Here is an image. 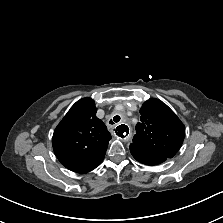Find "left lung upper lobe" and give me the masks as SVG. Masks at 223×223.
I'll return each instance as SVG.
<instances>
[{"mask_svg": "<svg viewBox=\"0 0 223 223\" xmlns=\"http://www.w3.org/2000/svg\"><path fill=\"white\" fill-rule=\"evenodd\" d=\"M141 122L130 147L141 151L172 158L180 149L185 127L177 115L162 101L152 98L140 109Z\"/></svg>", "mask_w": 223, "mask_h": 223, "instance_id": "left-lung-upper-lobe-1", "label": "left lung upper lobe"}]
</instances>
